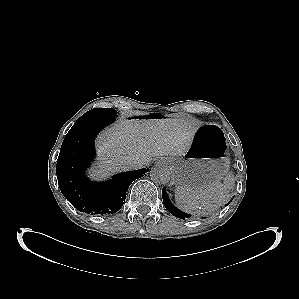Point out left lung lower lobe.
I'll use <instances>...</instances> for the list:
<instances>
[{"label": "left lung lower lobe", "mask_w": 299, "mask_h": 299, "mask_svg": "<svg viewBox=\"0 0 299 299\" xmlns=\"http://www.w3.org/2000/svg\"><path fill=\"white\" fill-rule=\"evenodd\" d=\"M162 198H163V203L165 208L175 217L180 218V219H186L191 217V215L182 212L181 210L177 209L169 200V197L166 193L165 187L162 189Z\"/></svg>", "instance_id": "1"}]
</instances>
